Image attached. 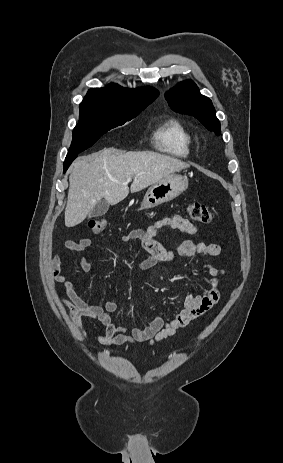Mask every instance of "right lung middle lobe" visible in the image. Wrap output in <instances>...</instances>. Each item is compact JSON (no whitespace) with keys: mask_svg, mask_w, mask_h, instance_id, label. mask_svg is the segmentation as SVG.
<instances>
[{"mask_svg":"<svg viewBox=\"0 0 283 463\" xmlns=\"http://www.w3.org/2000/svg\"><path fill=\"white\" fill-rule=\"evenodd\" d=\"M147 106L83 100L79 107V123L73 130V139L67 156L86 150L103 133L132 120Z\"/></svg>","mask_w":283,"mask_h":463,"instance_id":"dd1d6c3e","label":"right lung middle lobe"}]
</instances>
